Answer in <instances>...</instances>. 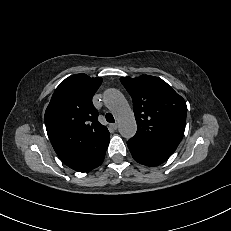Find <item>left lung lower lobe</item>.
<instances>
[{
  "label": "left lung lower lobe",
  "mask_w": 231,
  "mask_h": 231,
  "mask_svg": "<svg viewBox=\"0 0 231 231\" xmlns=\"http://www.w3.org/2000/svg\"><path fill=\"white\" fill-rule=\"evenodd\" d=\"M128 148L135 161L146 166H157L165 162L172 153L145 146L137 140L130 139Z\"/></svg>",
  "instance_id": "0a47b994"
}]
</instances>
